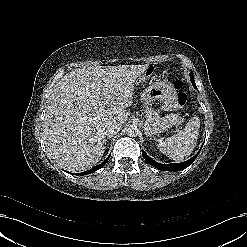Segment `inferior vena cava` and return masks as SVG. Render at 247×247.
Wrapping results in <instances>:
<instances>
[{"label": "inferior vena cava", "mask_w": 247, "mask_h": 247, "mask_svg": "<svg viewBox=\"0 0 247 247\" xmlns=\"http://www.w3.org/2000/svg\"><path fill=\"white\" fill-rule=\"evenodd\" d=\"M122 124L119 122H108L104 127L105 135L112 137L121 130Z\"/></svg>", "instance_id": "1"}]
</instances>
